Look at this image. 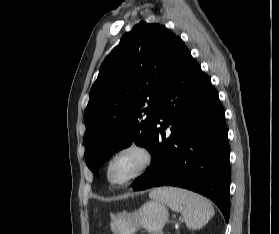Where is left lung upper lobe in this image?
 <instances>
[{"mask_svg": "<svg viewBox=\"0 0 279 234\" xmlns=\"http://www.w3.org/2000/svg\"><path fill=\"white\" fill-rule=\"evenodd\" d=\"M183 47L165 26L141 21L103 62L84 112L85 161L94 174L133 141L151 153L160 93Z\"/></svg>", "mask_w": 279, "mask_h": 234, "instance_id": "1", "label": "left lung upper lobe"}]
</instances>
